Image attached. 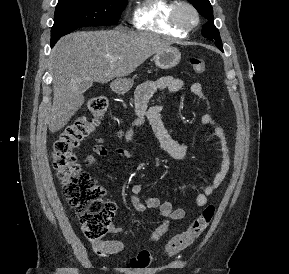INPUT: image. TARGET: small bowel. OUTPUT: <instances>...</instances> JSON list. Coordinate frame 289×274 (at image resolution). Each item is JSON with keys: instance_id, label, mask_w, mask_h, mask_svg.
Returning <instances> with one entry per match:
<instances>
[{"instance_id": "small-bowel-1", "label": "small bowel", "mask_w": 289, "mask_h": 274, "mask_svg": "<svg viewBox=\"0 0 289 274\" xmlns=\"http://www.w3.org/2000/svg\"><path fill=\"white\" fill-rule=\"evenodd\" d=\"M182 88L183 81L171 76L161 77L155 81H148L142 84L138 88L135 97V112L137 118L129 129L125 131L118 130L117 138L124 139L126 143H129L133 136V128L142 124L145 120H148L164 151L178 159L187 157L190 153V147L185 143H180L175 140L167 131L161 117L162 105H150L151 99L158 92L166 91L168 93H175L180 91ZM190 90L194 96L209 106L201 83H193ZM201 122L204 126L213 131L218 140L219 159L211 181L200 186V192L194 199L195 206L199 208L204 207L207 204L208 197L221 185L230 167V153L227 136L224 129L210 113L204 114L201 118ZM103 143V138L98 137L96 139V144L92 147L94 154H90L85 158L86 166L92 167L96 165V156L105 157L110 154V150L104 146ZM114 152L123 158H129L131 156V151L127 146L117 148L114 150ZM141 192V184L133 185L130 194V201L134 209L138 212H144L147 209H157L160 212V215L163 217L162 223L148 236L149 242H157L168 231L170 222L183 219L186 212L183 208H174L170 202L163 201L158 197H142ZM122 231L123 229L120 227L111 228V232L115 234L121 233ZM125 249V243L118 239H105L95 243L96 252L103 256L119 254L125 251Z\"/></svg>"}]
</instances>
